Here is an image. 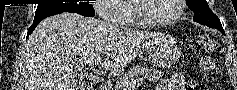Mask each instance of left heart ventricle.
I'll list each match as a JSON object with an SVG mask.
<instances>
[{"label":"left heart ventricle","instance_id":"left-heart-ventricle-1","mask_svg":"<svg viewBox=\"0 0 237 90\" xmlns=\"http://www.w3.org/2000/svg\"><path fill=\"white\" fill-rule=\"evenodd\" d=\"M176 0L139 1L138 6L143 17L150 21L169 20L176 12Z\"/></svg>","mask_w":237,"mask_h":90}]
</instances>
